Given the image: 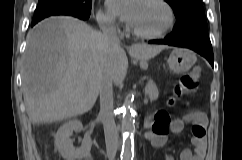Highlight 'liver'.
<instances>
[{"mask_svg": "<svg viewBox=\"0 0 242 160\" xmlns=\"http://www.w3.org/2000/svg\"><path fill=\"white\" fill-rule=\"evenodd\" d=\"M23 56L22 85L33 123H51L82 115L94 106L103 73L117 58L116 85L123 82L128 60L120 44H110L89 25L68 16L50 17L29 31ZM165 45L134 44L131 57L145 64Z\"/></svg>", "mask_w": 242, "mask_h": 160, "instance_id": "1", "label": "liver"}]
</instances>
